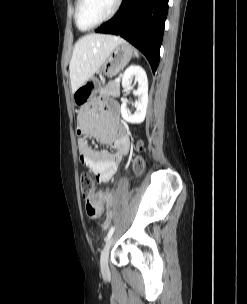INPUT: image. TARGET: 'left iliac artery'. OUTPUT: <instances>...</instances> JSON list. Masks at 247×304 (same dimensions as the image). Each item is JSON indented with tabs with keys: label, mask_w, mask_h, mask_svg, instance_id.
I'll use <instances>...</instances> for the list:
<instances>
[{
	"label": "left iliac artery",
	"mask_w": 247,
	"mask_h": 304,
	"mask_svg": "<svg viewBox=\"0 0 247 304\" xmlns=\"http://www.w3.org/2000/svg\"><path fill=\"white\" fill-rule=\"evenodd\" d=\"M114 230H115V226H112L107 234V237L105 238V241L109 240V238L113 235Z\"/></svg>",
	"instance_id": "left-iliac-artery-1"
}]
</instances>
